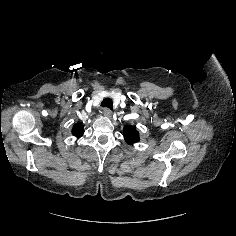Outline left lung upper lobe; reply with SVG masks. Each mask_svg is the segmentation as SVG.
<instances>
[{"instance_id":"obj_1","label":"left lung upper lobe","mask_w":236,"mask_h":236,"mask_svg":"<svg viewBox=\"0 0 236 236\" xmlns=\"http://www.w3.org/2000/svg\"><path fill=\"white\" fill-rule=\"evenodd\" d=\"M124 138L129 144H133L139 141V132L134 126L126 125L124 127Z\"/></svg>"}]
</instances>
